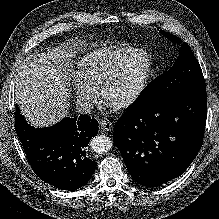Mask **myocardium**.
I'll return each instance as SVG.
<instances>
[{
  "label": "myocardium",
  "instance_id": "f54148a6",
  "mask_svg": "<svg viewBox=\"0 0 219 219\" xmlns=\"http://www.w3.org/2000/svg\"><path fill=\"white\" fill-rule=\"evenodd\" d=\"M137 55H145L148 58V68L136 90L129 97H127L122 101L119 102L106 101L107 90L111 85V83L113 82L116 75L118 74L119 70L123 66V64ZM153 72H154V61L151 54L145 49H141V48L134 49L129 53L125 54L124 56H122L120 59H118L105 74L99 85L100 96L112 109L117 111L126 110L132 107L141 98V96L143 95L149 84Z\"/></svg>",
  "mask_w": 219,
  "mask_h": 219
}]
</instances>
